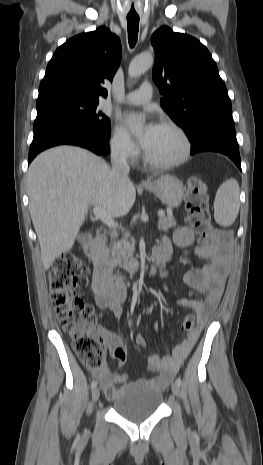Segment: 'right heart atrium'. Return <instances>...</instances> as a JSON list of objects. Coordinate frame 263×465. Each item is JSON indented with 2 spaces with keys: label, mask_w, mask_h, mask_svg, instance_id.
Listing matches in <instances>:
<instances>
[{
  "label": "right heart atrium",
  "mask_w": 263,
  "mask_h": 465,
  "mask_svg": "<svg viewBox=\"0 0 263 465\" xmlns=\"http://www.w3.org/2000/svg\"><path fill=\"white\" fill-rule=\"evenodd\" d=\"M112 154L120 159L133 160L138 155V147L121 127L112 130L109 139Z\"/></svg>",
  "instance_id": "d8ad5b80"
}]
</instances>
